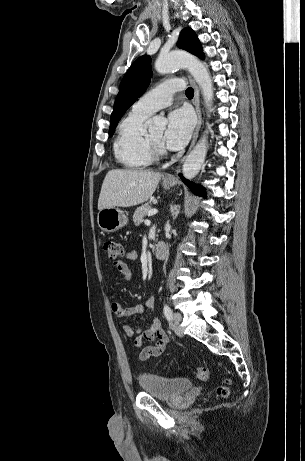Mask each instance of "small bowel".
Returning <instances> with one entry per match:
<instances>
[{
  "mask_svg": "<svg viewBox=\"0 0 305 461\" xmlns=\"http://www.w3.org/2000/svg\"><path fill=\"white\" fill-rule=\"evenodd\" d=\"M126 259L135 260L137 252L130 250L125 254ZM116 270L120 273L121 277L119 282L125 283L132 279L133 273L128 264L122 261L114 263ZM155 295H151L146 301V308L152 317V323L147 328H134L133 326L124 325V333L128 338H133V345L137 348H142L145 342H150L151 345L142 348L139 353L140 362H146L151 357H159L165 351L170 339L166 332L163 330L160 320L155 314ZM111 309L115 316L120 319L130 318L140 315L144 312L142 304H134L129 307H124L116 301L111 303Z\"/></svg>",
  "mask_w": 305,
  "mask_h": 461,
  "instance_id": "obj_1",
  "label": "small bowel"
}]
</instances>
